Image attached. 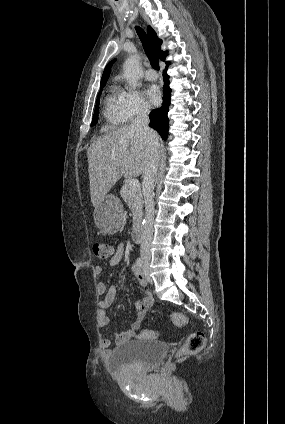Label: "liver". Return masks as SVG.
<instances>
[{"mask_svg":"<svg viewBox=\"0 0 285 424\" xmlns=\"http://www.w3.org/2000/svg\"><path fill=\"white\" fill-rule=\"evenodd\" d=\"M153 144L160 146L157 133ZM87 157L91 202L96 207L122 176L133 178L145 173L149 145L131 125L123 126L94 141Z\"/></svg>","mask_w":285,"mask_h":424,"instance_id":"liver-1","label":"liver"}]
</instances>
